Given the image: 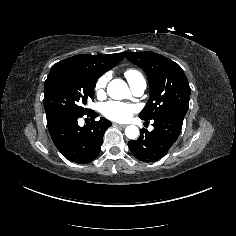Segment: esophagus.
Returning a JSON list of instances; mask_svg holds the SVG:
<instances>
[{
  "label": "esophagus",
  "mask_w": 236,
  "mask_h": 236,
  "mask_svg": "<svg viewBox=\"0 0 236 236\" xmlns=\"http://www.w3.org/2000/svg\"><path fill=\"white\" fill-rule=\"evenodd\" d=\"M113 125L116 126V127H122V128L126 127L125 124H119V123H113Z\"/></svg>",
  "instance_id": "1"
}]
</instances>
